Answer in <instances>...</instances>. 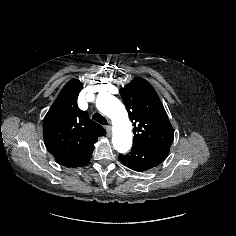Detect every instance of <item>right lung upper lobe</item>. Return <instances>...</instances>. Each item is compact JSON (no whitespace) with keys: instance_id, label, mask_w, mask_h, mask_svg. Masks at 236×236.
Here are the masks:
<instances>
[{"instance_id":"1","label":"right lung upper lobe","mask_w":236,"mask_h":236,"mask_svg":"<svg viewBox=\"0 0 236 236\" xmlns=\"http://www.w3.org/2000/svg\"><path fill=\"white\" fill-rule=\"evenodd\" d=\"M83 84L69 81L61 90L43 121V138L48 151L60 165L70 167L94 149L105 129L79 109L77 98Z\"/></svg>"}]
</instances>
